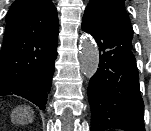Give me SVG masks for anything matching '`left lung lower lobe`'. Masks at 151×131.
<instances>
[{
	"label": "left lung lower lobe",
	"instance_id": "0a47b994",
	"mask_svg": "<svg viewBox=\"0 0 151 131\" xmlns=\"http://www.w3.org/2000/svg\"><path fill=\"white\" fill-rule=\"evenodd\" d=\"M82 29L95 38L100 54L99 68L87 90L91 131H145L130 27L100 15H84Z\"/></svg>",
	"mask_w": 151,
	"mask_h": 131
}]
</instances>
